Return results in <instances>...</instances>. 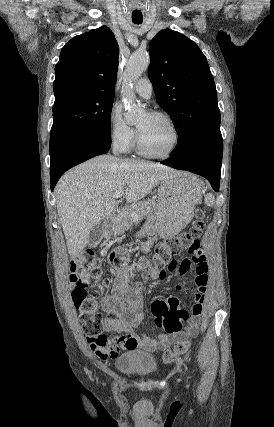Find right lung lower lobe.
I'll list each match as a JSON object with an SVG mask.
<instances>
[{"mask_svg": "<svg viewBox=\"0 0 274 427\" xmlns=\"http://www.w3.org/2000/svg\"><path fill=\"white\" fill-rule=\"evenodd\" d=\"M110 146L111 137L99 135L79 137L62 145L50 156L51 190L65 171L94 156L106 153Z\"/></svg>", "mask_w": 274, "mask_h": 427, "instance_id": "98d812e1", "label": "right lung lower lobe"}]
</instances>
